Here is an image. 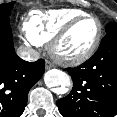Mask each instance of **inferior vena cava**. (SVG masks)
<instances>
[{
    "instance_id": "inferior-vena-cava-1",
    "label": "inferior vena cava",
    "mask_w": 117,
    "mask_h": 117,
    "mask_svg": "<svg viewBox=\"0 0 117 117\" xmlns=\"http://www.w3.org/2000/svg\"><path fill=\"white\" fill-rule=\"evenodd\" d=\"M17 54L26 61H36L39 59V53L28 47H19Z\"/></svg>"
}]
</instances>
